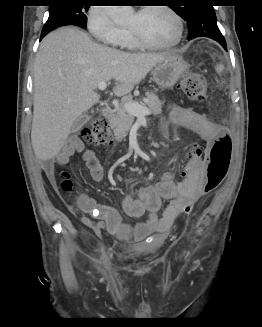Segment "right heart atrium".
Wrapping results in <instances>:
<instances>
[{
	"mask_svg": "<svg viewBox=\"0 0 262 327\" xmlns=\"http://www.w3.org/2000/svg\"><path fill=\"white\" fill-rule=\"evenodd\" d=\"M87 28L92 36L102 44L121 47L127 31L116 25L109 7L94 5L86 18Z\"/></svg>",
	"mask_w": 262,
	"mask_h": 327,
	"instance_id": "right-heart-atrium-1",
	"label": "right heart atrium"
}]
</instances>
